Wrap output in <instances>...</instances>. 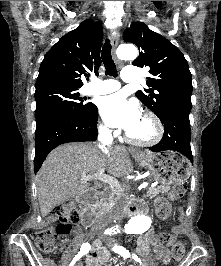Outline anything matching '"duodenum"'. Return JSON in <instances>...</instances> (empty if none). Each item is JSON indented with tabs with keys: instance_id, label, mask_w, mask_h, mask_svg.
Here are the masks:
<instances>
[{
	"instance_id": "obj_1",
	"label": "duodenum",
	"mask_w": 221,
	"mask_h": 266,
	"mask_svg": "<svg viewBox=\"0 0 221 266\" xmlns=\"http://www.w3.org/2000/svg\"><path fill=\"white\" fill-rule=\"evenodd\" d=\"M97 193L95 191H88L78 196V201L84 206L81 213V223L84 226H92L97 210L90 206V203L95 200ZM143 209V205L140 202H132L127 207H122L121 211L126 212L129 216H134Z\"/></svg>"
}]
</instances>
